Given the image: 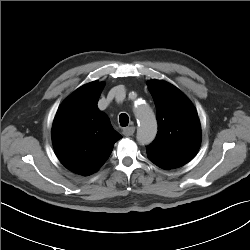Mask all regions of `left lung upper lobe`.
Returning a JSON list of instances; mask_svg holds the SVG:
<instances>
[{"label": "left lung upper lobe", "mask_w": 250, "mask_h": 250, "mask_svg": "<svg viewBox=\"0 0 250 250\" xmlns=\"http://www.w3.org/2000/svg\"><path fill=\"white\" fill-rule=\"evenodd\" d=\"M157 109L158 133L147 147V154L190 161L201 143L197 112L189 99L172 84L148 82Z\"/></svg>", "instance_id": "left-lung-upper-lobe-1"}]
</instances>
